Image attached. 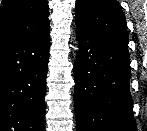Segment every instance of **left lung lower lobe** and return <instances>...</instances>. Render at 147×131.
Listing matches in <instances>:
<instances>
[{
    "mask_svg": "<svg viewBox=\"0 0 147 131\" xmlns=\"http://www.w3.org/2000/svg\"><path fill=\"white\" fill-rule=\"evenodd\" d=\"M74 105L77 131H136L128 47L76 23Z\"/></svg>",
    "mask_w": 147,
    "mask_h": 131,
    "instance_id": "obj_1",
    "label": "left lung lower lobe"
}]
</instances>
